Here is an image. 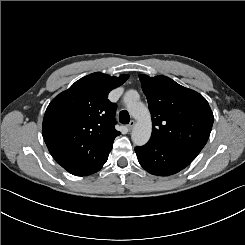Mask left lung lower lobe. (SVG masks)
<instances>
[{"label": "left lung lower lobe", "instance_id": "0a47b994", "mask_svg": "<svg viewBox=\"0 0 245 245\" xmlns=\"http://www.w3.org/2000/svg\"><path fill=\"white\" fill-rule=\"evenodd\" d=\"M135 152L140 165L149 173L158 176L176 174L193 160L173 148L151 140L144 146L136 147Z\"/></svg>", "mask_w": 245, "mask_h": 245}]
</instances>
